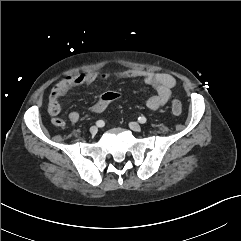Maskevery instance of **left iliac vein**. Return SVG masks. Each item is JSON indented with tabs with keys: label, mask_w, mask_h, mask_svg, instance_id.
Here are the masks:
<instances>
[{
	"label": "left iliac vein",
	"mask_w": 241,
	"mask_h": 241,
	"mask_svg": "<svg viewBox=\"0 0 241 241\" xmlns=\"http://www.w3.org/2000/svg\"><path fill=\"white\" fill-rule=\"evenodd\" d=\"M129 127H130L133 131L139 132V131L141 130V126H140L137 122H130V123H129Z\"/></svg>",
	"instance_id": "1"
}]
</instances>
